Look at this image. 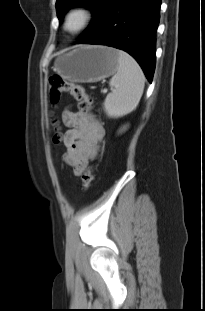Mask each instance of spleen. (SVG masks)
Returning a JSON list of instances; mask_svg holds the SVG:
<instances>
[{"label": "spleen", "instance_id": "obj_1", "mask_svg": "<svg viewBox=\"0 0 205 311\" xmlns=\"http://www.w3.org/2000/svg\"><path fill=\"white\" fill-rule=\"evenodd\" d=\"M118 55V69L110 79L111 92L104 101L105 111L112 118L132 112L141 99L145 85V76L137 61L122 50H118Z\"/></svg>", "mask_w": 205, "mask_h": 311}]
</instances>
